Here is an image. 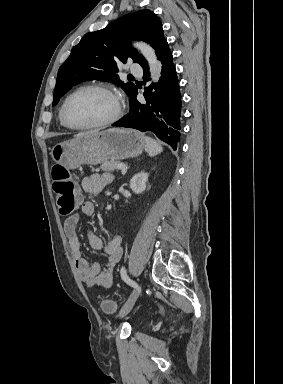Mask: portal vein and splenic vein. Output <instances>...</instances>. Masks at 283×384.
<instances>
[{
	"instance_id": "obj_1",
	"label": "portal vein and splenic vein",
	"mask_w": 283,
	"mask_h": 384,
	"mask_svg": "<svg viewBox=\"0 0 283 384\" xmlns=\"http://www.w3.org/2000/svg\"><path fill=\"white\" fill-rule=\"evenodd\" d=\"M117 168H118V170H123V174H125L126 168H125V166H123V164H118Z\"/></svg>"
}]
</instances>
